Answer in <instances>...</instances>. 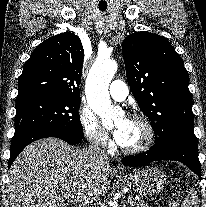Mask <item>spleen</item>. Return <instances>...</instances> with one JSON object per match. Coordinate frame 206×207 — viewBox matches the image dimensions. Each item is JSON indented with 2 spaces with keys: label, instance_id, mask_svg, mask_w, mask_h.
Segmentation results:
<instances>
[{
  "label": "spleen",
  "instance_id": "spleen-1",
  "mask_svg": "<svg viewBox=\"0 0 206 207\" xmlns=\"http://www.w3.org/2000/svg\"><path fill=\"white\" fill-rule=\"evenodd\" d=\"M182 207H199L198 195L195 190H191L185 197Z\"/></svg>",
  "mask_w": 206,
  "mask_h": 207
}]
</instances>
